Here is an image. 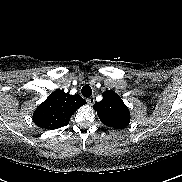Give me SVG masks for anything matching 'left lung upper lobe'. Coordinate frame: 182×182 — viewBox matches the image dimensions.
<instances>
[{
  "instance_id": "1",
  "label": "left lung upper lobe",
  "mask_w": 182,
  "mask_h": 182,
  "mask_svg": "<svg viewBox=\"0 0 182 182\" xmlns=\"http://www.w3.org/2000/svg\"><path fill=\"white\" fill-rule=\"evenodd\" d=\"M102 96V101L93 106L101 122L117 129L128 126L130 112L120 96L113 90L103 92Z\"/></svg>"
}]
</instances>
